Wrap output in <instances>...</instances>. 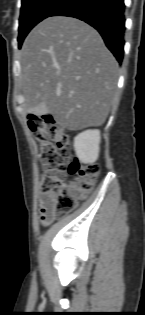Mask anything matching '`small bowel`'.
Listing matches in <instances>:
<instances>
[{
  "instance_id": "c3829d8e",
  "label": "small bowel",
  "mask_w": 145,
  "mask_h": 315,
  "mask_svg": "<svg viewBox=\"0 0 145 315\" xmlns=\"http://www.w3.org/2000/svg\"><path fill=\"white\" fill-rule=\"evenodd\" d=\"M56 197V193H50L49 195H46L44 193H40L38 196V202H39V211H40V221L43 225H49L51 224L56 214L54 212V199ZM50 199V204H46V199Z\"/></svg>"
}]
</instances>
